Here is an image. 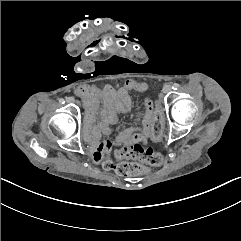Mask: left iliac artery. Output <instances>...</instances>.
<instances>
[{
    "instance_id": "44dca946",
    "label": "left iliac artery",
    "mask_w": 241,
    "mask_h": 241,
    "mask_svg": "<svg viewBox=\"0 0 241 241\" xmlns=\"http://www.w3.org/2000/svg\"><path fill=\"white\" fill-rule=\"evenodd\" d=\"M178 88H179V84L178 83H174L172 85V89L177 90Z\"/></svg>"
}]
</instances>
